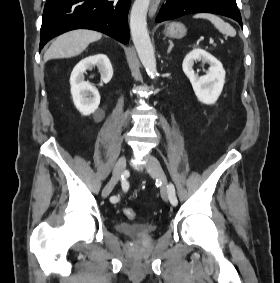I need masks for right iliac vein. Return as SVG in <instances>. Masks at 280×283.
<instances>
[{
	"mask_svg": "<svg viewBox=\"0 0 280 283\" xmlns=\"http://www.w3.org/2000/svg\"><path fill=\"white\" fill-rule=\"evenodd\" d=\"M125 168H126V157L123 155L116 162L115 168L113 170L112 178L102 191L103 198H106L111 193L113 187L115 186L117 181L120 179V176L125 170Z\"/></svg>",
	"mask_w": 280,
	"mask_h": 283,
	"instance_id": "63e3f726",
	"label": "right iliac vein"
}]
</instances>
